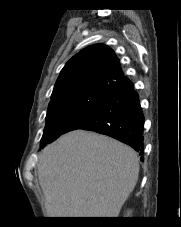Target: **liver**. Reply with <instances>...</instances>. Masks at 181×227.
<instances>
[{
  "label": "liver",
  "mask_w": 181,
  "mask_h": 227,
  "mask_svg": "<svg viewBox=\"0 0 181 227\" xmlns=\"http://www.w3.org/2000/svg\"><path fill=\"white\" fill-rule=\"evenodd\" d=\"M138 174L132 148L84 130L46 146L38 161L49 217H118Z\"/></svg>",
  "instance_id": "1"
}]
</instances>
